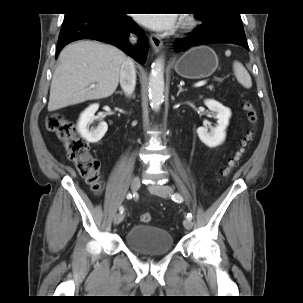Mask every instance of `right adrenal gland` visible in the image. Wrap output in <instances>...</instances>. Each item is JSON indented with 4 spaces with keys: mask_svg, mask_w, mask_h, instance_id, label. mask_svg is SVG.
<instances>
[{
    "mask_svg": "<svg viewBox=\"0 0 303 303\" xmlns=\"http://www.w3.org/2000/svg\"><path fill=\"white\" fill-rule=\"evenodd\" d=\"M117 94H120V95H122L123 93L121 92V91H118V92H116Z\"/></svg>",
    "mask_w": 303,
    "mask_h": 303,
    "instance_id": "right-adrenal-gland-1",
    "label": "right adrenal gland"
}]
</instances>
